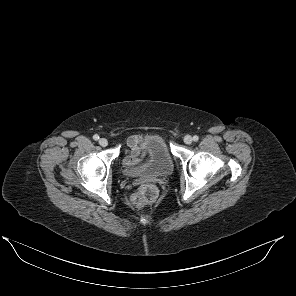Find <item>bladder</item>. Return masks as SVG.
<instances>
[{
  "label": "bladder",
  "mask_w": 296,
  "mask_h": 296,
  "mask_svg": "<svg viewBox=\"0 0 296 296\" xmlns=\"http://www.w3.org/2000/svg\"><path fill=\"white\" fill-rule=\"evenodd\" d=\"M140 147L147 154V161L140 166H125L124 171L133 177H166L172 174L174 163L164 139L159 135L141 138Z\"/></svg>",
  "instance_id": "obj_1"
}]
</instances>
